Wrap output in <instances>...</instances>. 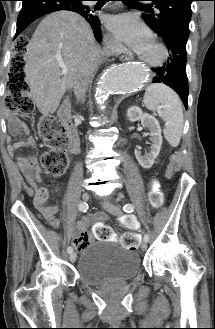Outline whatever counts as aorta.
Masks as SVG:
<instances>
[{
    "mask_svg": "<svg viewBox=\"0 0 215 329\" xmlns=\"http://www.w3.org/2000/svg\"><path fill=\"white\" fill-rule=\"evenodd\" d=\"M146 78L144 68L138 64L115 63L99 78L96 85V100L101 106L112 94L137 91Z\"/></svg>",
    "mask_w": 215,
    "mask_h": 329,
    "instance_id": "1",
    "label": "aorta"
}]
</instances>
